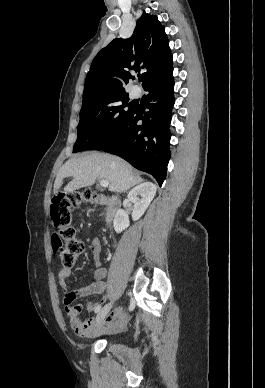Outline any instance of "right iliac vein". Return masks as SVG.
<instances>
[{"instance_id": "obj_1", "label": "right iliac vein", "mask_w": 265, "mask_h": 388, "mask_svg": "<svg viewBox=\"0 0 265 388\" xmlns=\"http://www.w3.org/2000/svg\"><path fill=\"white\" fill-rule=\"evenodd\" d=\"M113 303H109L105 305L98 313L96 317V326L101 324V322L105 319L107 314L109 313L110 309L112 308Z\"/></svg>"}]
</instances>
